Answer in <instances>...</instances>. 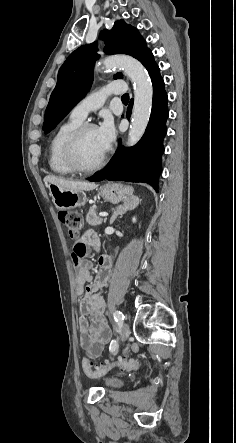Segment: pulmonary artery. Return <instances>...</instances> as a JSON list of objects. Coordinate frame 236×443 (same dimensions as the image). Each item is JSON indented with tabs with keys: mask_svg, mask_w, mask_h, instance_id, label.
I'll return each mask as SVG.
<instances>
[{
	"mask_svg": "<svg viewBox=\"0 0 236 443\" xmlns=\"http://www.w3.org/2000/svg\"><path fill=\"white\" fill-rule=\"evenodd\" d=\"M124 91L125 87L123 82L113 81L102 90L95 92L78 102L71 110L70 115L73 118L83 121L90 111L98 109L103 104L108 95L121 94Z\"/></svg>",
	"mask_w": 236,
	"mask_h": 443,
	"instance_id": "pulmonary-artery-1",
	"label": "pulmonary artery"
}]
</instances>
